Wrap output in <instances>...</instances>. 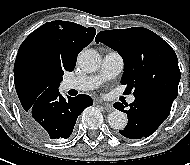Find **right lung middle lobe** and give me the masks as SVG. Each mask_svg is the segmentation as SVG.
Instances as JSON below:
<instances>
[{
	"label": "right lung middle lobe",
	"instance_id": "1",
	"mask_svg": "<svg viewBox=\"0 0 190 165\" xmlns=\"http://www.w3.org/2000/svg\"><path fill=\"white\" fill-rule=\"evenodd\" d=\"M62 81V78H60L56 83L52 84L50 86L51 89H57L59 87V83Z\"/></svg>",
	"mask_w": 190,
	"mask_h": 165
}]
</instances>
